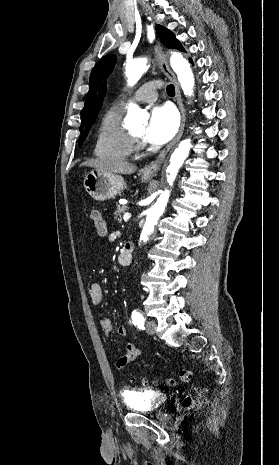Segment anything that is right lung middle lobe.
Here are the masks:
<instances>
[{
    "instance_id": "obj_1",
    "label": "right lung middle lobe",
    "mask_w": 279,
    "mask_h": 465,
    "mask_svg": "<svg viewBox=\"0 0 279 465\" xmlns=\"http://www.w3.org/2000/svg\"><path fill=\"white\" fill-rule=\"evenodd\" d=\"M87 133H88V132H87ZM87 133L83 134V135L80 137V139H79V144H81V143L85 140V138H86V136H87Z\"/></svg>"
}]
</instances>
